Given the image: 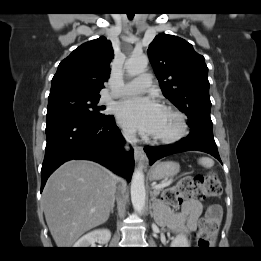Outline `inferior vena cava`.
Returning <instances> with one entry per match:
<instances>
[{
    "label": "inferior vena cava",
    "instance_id": "602c4592",
    "mask_svg": "<svg viewBox=\"0 0 261 261\" xmlns=\"http://www.w3.org/2000/svg\"><path fill=\"white\" fill-rule=\"evenodd\" d=\"M124 138L126 139V141L130 144H135L137 142V138L135 133L132 132H124L123 134ZM126 149H128V147H126Z\"/></svg>",
    "mask_w": 261,
    "mask_h": 261
}]
</instances>
